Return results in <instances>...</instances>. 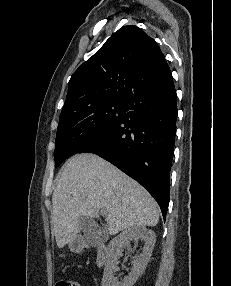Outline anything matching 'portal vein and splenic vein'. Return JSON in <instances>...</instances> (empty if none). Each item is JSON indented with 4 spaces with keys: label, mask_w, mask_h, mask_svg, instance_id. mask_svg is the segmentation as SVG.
<instances>
[{
    "label": "portal vein and splenic vein",
    "mask_w": 231,
    "mask_h": 286,
    "mask_svg": "<svg viewBox=\"0 0 231 286\" xmlns=\"http://www.w3.org/2000/svg\"><path fill=\"white\" fill-rule=\"evenodd\" d=\"M107 213V211L105 209H101V214L105 215Z\"/></svg>",
    "instance_id": "18ae733b"
}]
</instances>
